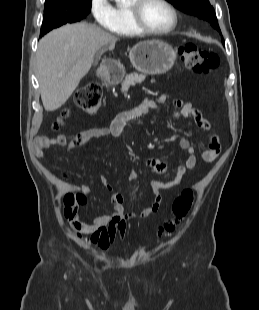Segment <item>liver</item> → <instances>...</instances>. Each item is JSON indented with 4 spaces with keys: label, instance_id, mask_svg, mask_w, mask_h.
Returning <instances> with one entry per match:
<instances>
[{
    "label": "liver",
    "instance_id": "liver-1",
    "mask_svg": "<svg viewBox=\"0 0 259 310\" xmlns=\"http://www.w3.org/2000/svg\"><path fill=\"white\" fill-rule=\"evenodd\" d=\"M118 38L95 25H65L44 36L36 53L44 109L60 108L89 72L98 50H113Z\"/></svg>",
    "mask_w": 259,
    "mask_h": 310
}]
</instances>
